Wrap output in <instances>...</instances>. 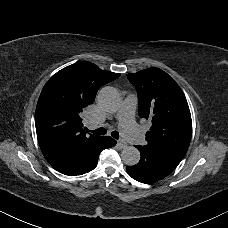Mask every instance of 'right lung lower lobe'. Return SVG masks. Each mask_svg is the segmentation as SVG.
Returning a JSON list of instances; mask_svg holds the SVG:
<instances>
[{
  "instance_id": "98d812e1",
  "label": "right lung lower lobe",
  "mask_w": 228,
  "mask_h": 228,
  "mask_svg": "<svg viewBox=\"0 0 228 228\" xmlns=\"http://www.w3.org/2000/svg\"><path fill=\"white\" fill-rule=\"evenodd\" d=\"M116 141L110 136L77 146L67 152L64 156L50 163V165L62 174L75 176L82 175L93 170L102 150L113 147Z\"/></svg>"
}]
</instances>
